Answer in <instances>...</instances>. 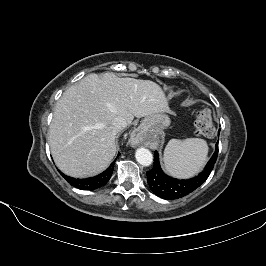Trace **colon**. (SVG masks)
<instances>
[{
    "label": "colon",
    "mask_w": 266,
    "mask_h": 266,
    "mask_svg": "<svg viewBox=\"0 0 266 266\" xmlns=\"http://www.w3.org/2000/svg\"><path fill=\"white\" fill-rule=\"evenodd\" d=\"M195 132L199 136L212 137L215 128L212 122L211 113L208 109H202L196 112Z\"/></svg>",
    "instance_id": "5ec220e1"
}]
</instances>
